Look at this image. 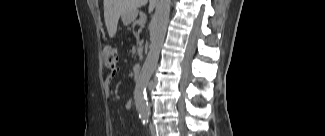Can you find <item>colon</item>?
Wrapping results in <instances>:
<instances>
[{"label": "colon", "mask_w": 325, "mask_h": 136, "mask_svg": "<svg viewBox=\"0 0 325 136\" xmlns=\"http://www.w3.org/2000/svg\"><path fill=\"white\" fill-rule=\"evenodd\" d=\"M104 65L107 69L115 70L117 67L118 53L115 47L105 45L103 48Z\"/></svg>", "instance_id": "1"}]
</instances>
